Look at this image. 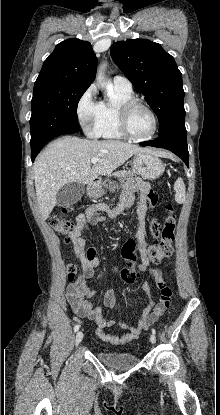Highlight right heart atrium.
<instances>
[{
  "label": "right heart atrium",
  "mask_w": 220,
  "mask_h": 415,
  "mask_svg": "<svg viewBox=\"0 0 220 415\" xmlns=\"http://www.w3.org/2000/svg\"><path fill=\"white\" fill-rule=\"evenodd\" d=\"M102 115V104L96 100V89L90 86L77 104V116L85 133L91 137H98V126Z\"/></svg>",
  "instance_id": "1"
}]
</instances>
